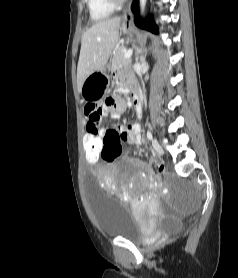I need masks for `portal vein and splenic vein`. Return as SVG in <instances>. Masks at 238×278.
Segmentation results:
<instances>
[{
  "instance_id": "obj_1",
  "label": "portal vein and splenic vein",
  "mask_w": 238,
  "mask_h": 278,
  "mask_svg": "<svg viewBox=\"0 0 238 278\" xmlns=\"http://www.w3.org/2000/svg\"><path fill=\"white\" fill-rule=\"evenodd\" d=\"M133 50L129 49L128 51H126L125 53V59H129L132 56Z\"/></svg>"
}]
</instances>
